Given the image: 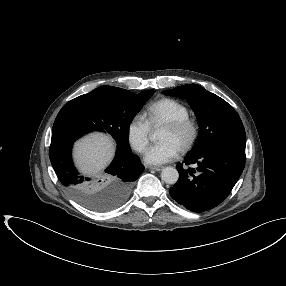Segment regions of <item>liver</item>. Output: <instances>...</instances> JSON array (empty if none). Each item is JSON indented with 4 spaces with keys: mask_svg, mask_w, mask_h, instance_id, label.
Masks as SVG:
<instances>
[{
    "mask_svg": "<svg viewBox=\"0 0 286 286\" xmlns=\"http://www.w3.org/2000/svg\"><path fill=\"white\" fill-rule=\"evenodd\" d=\"M113 153V143L109 136L93 134L76 143L74 158L84 174L95 175L106 167Z\"/></svg>",
    "mask_w": 286,
    "mask_h": 286,
    "instance_id": "1",
    "label": "liver"
}]
</instances>
